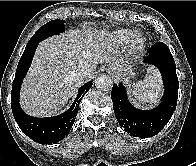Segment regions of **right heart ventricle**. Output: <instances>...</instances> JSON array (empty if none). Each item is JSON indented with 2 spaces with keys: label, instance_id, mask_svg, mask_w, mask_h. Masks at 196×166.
I'll list each match as a JSON object with an SVG mask.
<instances>
[{
  "label": "right heart ventricle",
  "instance_id": "right-heart-ventricle-1",
  "mask_svg": "<svg viewBox=\"0 0 196 166\" xmlns=\"http://www.w3.org/2000/svg\"><path fill=\"white\" fill-rule=\"evenodd\" d=\"M132 33L129 30H119L115 33V38L120 43H127L130 40Z\"/></svg>",
  "mask_w": 196,
  "mask_h": 166
}]
</instances>
